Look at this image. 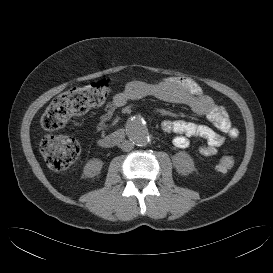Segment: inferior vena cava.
<instances>
[{
    "label": "inferior vena cava",
    "mask_w": 273,
    "mask_h": 273,
    "mask_svg": "<svg viewBox=\"0 0 273 273\" xmlns=\"http://www.w3.org/2000/svg\"><path fill=\"white\" fill-rule=\"evenodd\" d=\"M134 148V143L129 141V140H125L121 143V149L125 152H129Z\"/></svg>",
    "instance_id": "inferior-vena-cava-1"
}]
</instances>
